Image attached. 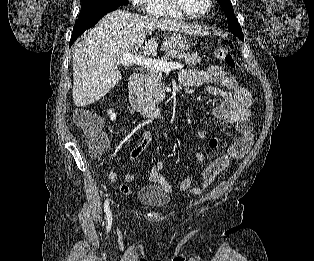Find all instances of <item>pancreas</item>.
I'll list each match as a JSON object with an SVG mask.
<instances>
[{
  "mask_svg": "<svg viewBox=\"0 0 314 261\" xmlns=\"http://www.w3.org/2000/svg\"><path fill=\"white\" fill-rule=\"evenodd\" d=\"M165 47V46H164ZM166 54L162 58L164 61L171 59H183L189 67H193L201 62L197 53H185L172 48L165 47ZM144 98L154 104L165 99V88L162 82V71L149 68L144 76Z\"/></svg>",
  "mask_w": 314,
  "mask_h": 261,
  "instance_id": "obj_1",
  "label": "pancreas"
}]
</instances>
